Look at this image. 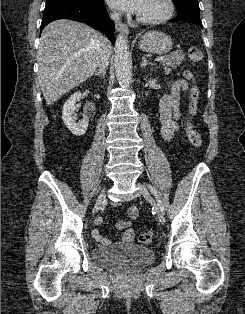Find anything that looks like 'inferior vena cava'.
I'll return each mask as SVG.
<instances>
[{"instance_id": "602c4592", "label": "inferior vena cava", "mask_w": 245, "mask_h": 314, "mask_svg": "<svg viewBox=\"0 0 245 314\" xmlns=\"http://www.w3.org/2000/svg\"><path fill=\"white\" fill-rule=\"evenodd\" d=\"M111 18L115 21H119L120 14L114 13L111 15ZM110 55H111V44L109 43V41L106 40L100 50V56H99V61H98V67L103 69L104 71L109 65Z\"/></svg>"}]
</instances>
